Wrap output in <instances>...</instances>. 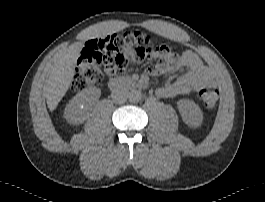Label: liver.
I'll list each match as a JSON object with an SVG mask.
<instances>
[{"instance_id":"6515ba94","label":"liver","mask_w":265,"mask_h":202,"mask_svg":"<svg viewBox=\"0 0 265 202\" xmlns=\"http://www.w3.org/2000/svg\"><path fill=\"white\" fill-rule=\"evenodd\" d=\"M84 47L82 42L70 45L58 56L49 75L46 87V101L53 112L68 91L75 74V64Z\"/></svg>"}]
</instances>
